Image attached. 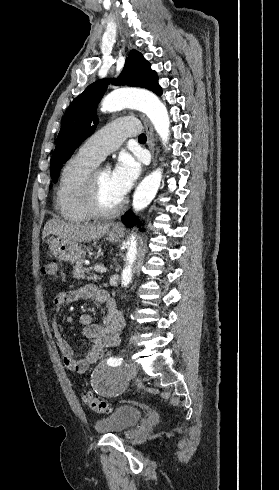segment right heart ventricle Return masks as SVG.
<instances>
[{"mask_svg":"<svg viewBox=\"0 0 279 490\" xmlns=\"http://www.w3.org/2000/svg\"><path fill=\"white\" fill-rule=\"evenodd\" d=\"M96 165L78 152L61 169L56 197L61 216L70 223L81 224L94 217L87 206V193Z\"/></svg>","mask_w":279,"mask_h":490,"instance_id":"right-heart-ventricle-1","label":"right heart ventricle"}]
</instances>
